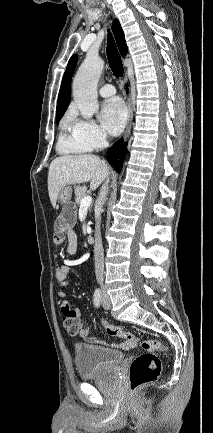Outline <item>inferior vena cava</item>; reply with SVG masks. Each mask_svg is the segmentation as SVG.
Instances as JSON below:
<instances>
[{
  "instance_id": "obj_1",
  "label": "inferior vena cava",
  "mask_w": 213,
  "mask_h": 433,
  "mask_svg": "<svg viewBox=\"0 0 213 433\" xmlns=\"http://www.w3.org/2000/svg\"><path fill=\"white\" fill-rule=\"evenodd\" d=\"M108 192V181L102 186L98 199V212L95 216L96 226H95V245H94V257H95V274L98 284L101 287V290L104 291L103 285V274H104V252L102 246L101 232H100V224H101V216H100V208L103 205L104 199Z\"/></svg>"
}]
</instances>
